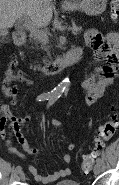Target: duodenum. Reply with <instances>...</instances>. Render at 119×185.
<instances>
[{
    "instance_id": "1",
    "label": "duodenum",
    "mask_w": 119,
    "mask_h": 185,
    "mask_svg": "<svg viewBox=\"0 0 119 185\" xmlns=\"http://www.w3.org/2000/svg\"><path fill=\"white\" fill-rule=\"evenodd\" d=\"M26 34L24 32H16L14 35V40L17 45H23L26 42ZM82 50L79 47L73 48L66 54L59 56L46 64L41 72L44 75H54L63 70L64 68L77 63L81 59Z\"/></svg>"
}]
</instances>
